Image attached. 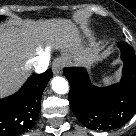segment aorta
I'll return each instance as SVG.
<instances>
[{
	"mask_svg": "<svg viewBox=\"0 0 136 136\" xmlns=\"http://www.w3.org/2000/svg\"><path fill=\"white\" fill-rule=\"evenodd\" d=\"M52 89L57 94H66L69 90L68 82L65 78L57 76L51 81Z\"/></svg>",
	"mask_w": 136,
	"mask_h": 136,
	"instance_id": "1",
	"label": "aorta"
}]
</instances>
